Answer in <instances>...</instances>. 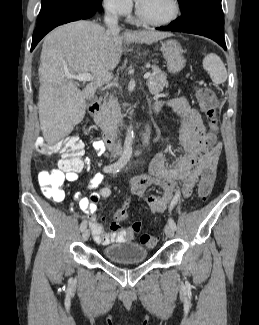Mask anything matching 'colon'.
I'll return each mask as SVG.
<instances>
[{
  "label": "colon",
  "mask_w": 259,
  "mask_h": 325,
  "mask_svg": "<svg viewBox=\"0 0 259 325\" xmlns=\"http://www.w3.org/2000/svg\"><path fill=\"white\" fill-rule=\"evenodd\" d=\"M194 94L201 110L209 119V126L212 130L209 135V141L214 143L216 142L214 131L218 124L219 101L215 93L210 88L203 85L195 86ZM35 148L41 154L63 153L61 158L62 164L59 165L58 169L42 171L38 175V183L42 193L47 198L59 202L63 199V191L61 188L64 182L65 169L76 166L77 161L82 156L83 144L77 136L71 135L53 144H47L42 138H39L35 143ZM215 178V169H207L202 173L198 185V195L202 200H206L210 195ZM129 206L130 203L125 202L118 209L115 214L116 222L119 223L127 218ZM131 229L139 233L142 229V222L139 220L134 221L131 225ZM140 242L148 248H153L157 243V239L151 234L142 233Z\"/></svg>",
  "instance_id": "colon-1"
}]
</instances>
